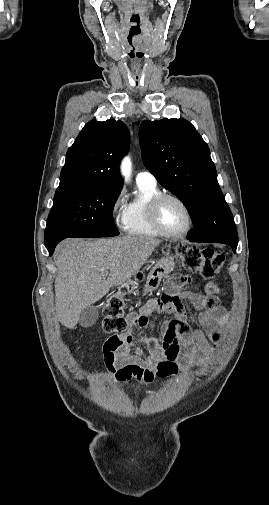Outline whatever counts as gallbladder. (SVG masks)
I'll return each instance as SVG.
<instances>
[{
	"label": "gallbladder",
	"instance_id": "obj_1",
	"mask_svg": "<svg viewBox=\"0 0 269 505\" xmlns=\"http://www.w3.org/2000/svg\"><path fill=\"white\" fill-rule=\"evenodd\" d=\"M98 316V308L94 305H89L81 311L79 324L82 327H91L98 319Z\"/></svg>",
	"mask_w": 269,
	"mask_h": 505
}]
</instances>
